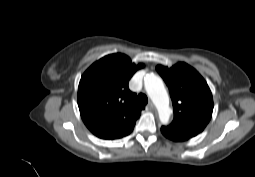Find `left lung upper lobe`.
Masks as SVG:
<instances>
[{
	"label": "left lung upper lobe",
	"instance_id": "obj_1",
	"mask_svg": "<svg viewBox=\"0 0 255 177\" xmlns=\"http://www.w3.org/2000/svg\"><path fill=\"white\" fill-rule=\"evenodd\" d=\"M156 69L169 88L174 110L172 123L161 130L174 141H186L201 133L213 112L212 93L204 78L184 62L171 68L158 65Z\"/></svg>",
	"mask_w": 255,
	"mask_h": 177
}]
</instances>
